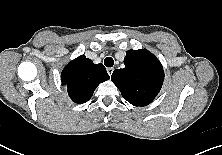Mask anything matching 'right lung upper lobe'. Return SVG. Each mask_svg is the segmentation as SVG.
<instances>
[{
	"label": "right lung upper lobe",
	"instance_id": "right-lung-upper-lobe-1",
	"mask_svg": "<svg viewBox=\"0 0 222 155\" xmlns=\"http://www.w3.org/2000/svg\"><path fill=\"white\" fill-rule=\"evenodd\" d=\"M109 78L103 64H94L84 55L69 62L61 74L62 84L67 87L68 95L77 104L88 101L96 87Z\"/></svg>",
	"mask_w": 222,
	"mask_h": 155
}]
</instances>
